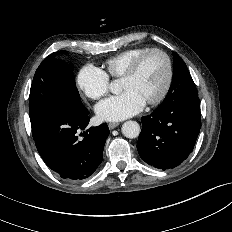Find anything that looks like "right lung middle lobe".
Wrapping results in <instances>:
<instances>
[{"label": "right lung middle lobe", "mask_w": 232, "mask_h": 232, "mask_svg": "<svg viewBox=\"0 0 232 232\" xmlns=\"http://www.w3.org/2000/svg\"><path fill=\"white\" fill-rule=\"evenodd\" d=\"M60 54H66V51H57L46 57L32 81L29 115L33 137L60 104L78 109L84 106L76 88L73 65L57 59Z\"/></svg>", "instance_id": "obj_1"}]
</instances>
